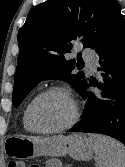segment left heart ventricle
I'll return each mask as SVG.
<instances>
[{"label": "left heart ventricle", "mask_w": 125, "mask_h": 167, "mask_svg": "<svg viewBox=\"0 0 125 167\" xmlns=\"http://www.w3.org/2000/svg\"><path fill=\"white\" fill-rule=\"evenodd\" d=\"M72 113L67 98L59 93H52L41 98L32 111V123L39 129H52L66 123Z\"/></svg>", "instance_id": "1"}]
</instances>
